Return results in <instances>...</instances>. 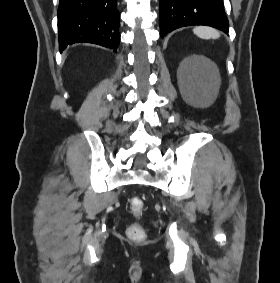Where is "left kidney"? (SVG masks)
<instances>
[{
  "label": "left kidney",
  "mask_w": 280,
  "mask_h": 283,
  "mask_svg": "<svg viewBox=\"0 0 280 283\" xmlns=\"http://www.w3.org/2000/svg\"><path fill=\"white\" fill-rule=\"evenodd\" d=\"M198 60H204L206 61V59H204L203 57H199V56H196V57H191V58H188L184 61L185 64H194L196 63ZM210 64V63H209Z\"/></svg>",
  "instance_id": "obj_1"
}]
</instances>
